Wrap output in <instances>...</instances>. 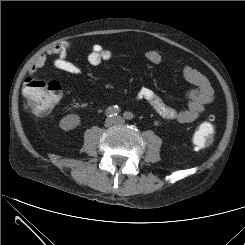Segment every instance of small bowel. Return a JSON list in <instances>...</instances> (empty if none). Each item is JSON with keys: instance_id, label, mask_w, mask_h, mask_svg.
<instances>
[{"instance_id": "1", "label": "small bowel", "mask_w": 245, "mask_h": 245, "mask_svg": "<svg viewBox=\"0 0 245 245\" xmlns=\"http://www.w3.org/2000/svg\"><path fill=\"white\" fill-rule=\"evenodd\" d=\"M73 49L70 42H62L49 48L44 54L40 55L30 69L33 75L41 69L47 62L48 58H53V64L56 68L74 76H79L82 71L80 67L72 63L68 56ZM146 59L152 64H164L170 68H176V64L166 60L159 52L151 50L145 55ZM112 58V52L103 48L99 44L91 47L88 54V62L92 66H98L102 61ZM184 79L192 86L187 92V107L183 110H177L164 102L154 91L149 89L141 90L136 95L139 102L148 103L154 111L162 118L178 123H189L197 119L205 110L206 105L214 100V90L208 79L196 69L190 66L182 68Z\"/></svg>"}]
</instances>
